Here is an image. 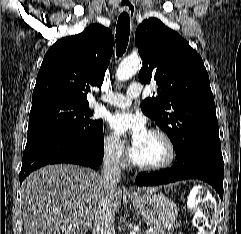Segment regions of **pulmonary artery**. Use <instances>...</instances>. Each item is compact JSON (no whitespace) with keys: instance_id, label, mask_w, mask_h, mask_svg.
Here are the masks:
<instances>
[{"instance_id":"1","label":"pulmonary artery","mask_w":241,"mask_h":234,"mask_svg":"<svg viewBox=\"0 0 241 234\" xmlns=\"http://www.w3.org/2000/svg\"><path fill=\"white\" fill-rule=\"evenodd\" d=\"M142 92V86L139 83H132L126 94L111 93L103 96L100 101L115 107L125 108L131 105L134 98H137Z\"/></svg>"}]
</instances>
